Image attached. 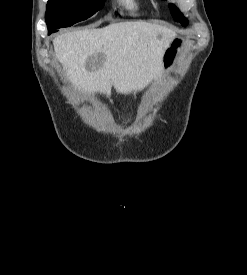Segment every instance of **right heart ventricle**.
<instances>
[{
    "label": "right heart ventricle",
    "mask_w": 247,
    "mask_h": 275,
    "mask_svg": "<svg viewBox=\"0 0 247 275\" xmlns=\"http://www.w3.org/2000/svg\"><path fill=\"white\" fill-rule=\"evenodd\" d=\"M117 2L123 9L130 12L138 11L142 3L141 0H117Z\"/></svg>",
    "instance_id": "e07e8e85"
}]
</instances>
